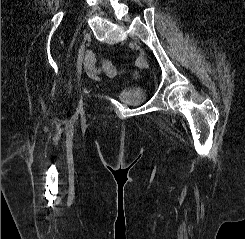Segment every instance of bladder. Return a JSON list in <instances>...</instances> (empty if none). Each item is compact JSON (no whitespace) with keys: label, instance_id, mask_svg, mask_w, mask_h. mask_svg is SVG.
I'll return each mask as SVG.
<instances>
[{"label":"bladder","instance_id":"bladder-1","mask_svg":"<svg viewBox=\"0 0 245 239\" xmlns=\"http://www.w3.org/2000/svg\"><path fill=\"white\" fill-rule=\"evenodd\" d=\"M117 97L127 105L140 104L147 100V90L141 86L122 87L118 91Z\"/></svg>","mask_w":245,"mask_h":239}]
</instances>
